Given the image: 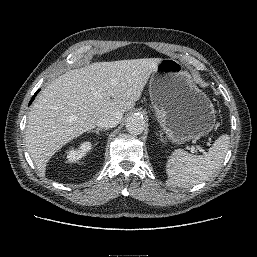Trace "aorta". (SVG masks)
I'll return each instance as SVG.
<instances>
[{
  "instance_id": "aorta-1",
  "label": "aorta",
  "mask_w": 257,
  "mask_h": 257,
  "mask_svg": "<svg viewBox=\"0 0 257 257\" xmlns=\"http://www.w3.org/2000/svg\"><path fill=\"white\" fill-rule=\"evenodd\" d=\"M126 129L131 134H141L145 129V120L138 114L130 115L126 119Z\"/></svg>"
}]
</instances>
